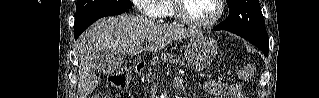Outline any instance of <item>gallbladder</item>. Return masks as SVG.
Listing matches in <instances>:
<instances>
[{"mask_svg": "<svg viewBox=\"0 0 319 98\" xmlns=\"http://www.w3.org/2000/svg\"><path fill=\"white\" fill-rule=\"evenodd\" d=\"M94 64L97 72L108 74L122 66L123 56L120 53L108 50L97 54Z\"/></svg>", "mask_w": 319, "mask_h": 98, "instance_id": "obj_1", "label": "gallbladder"}]
</instances>
